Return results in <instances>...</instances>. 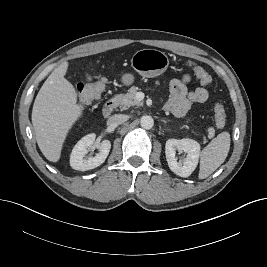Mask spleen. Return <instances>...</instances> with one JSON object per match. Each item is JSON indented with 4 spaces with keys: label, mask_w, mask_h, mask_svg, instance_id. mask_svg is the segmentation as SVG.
Returning a JSON list of instances; mask_svg holds the SVG:
<instances>
[{
    "label": "spleen",
    "mask_w": 267,
    "mask_h": 267,
    "mask_svg": "<svg viewBox=\"0 0 267 267\" xmlns=\"http://www.w3.org/2000/svg\"><path fill=\"white\" fill-rule=\"evenodd\" d=\"M230 134L220 133L201 152L199 179L211 175L226 159L230 149Z\"/></svg>",
    "instance_id": "3e777b00"
}]
</instances>
